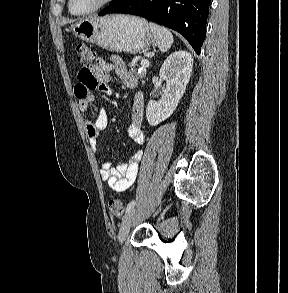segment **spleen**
Returning <instances> with one entry per match:
<instances>
[{"label": "spleen", "mask_w": 288, "mask_h": 293, "mask_svg": "<svg viewBox=\"0 0 288 293\" xmlns=\"http://www.w3.org/2000/svg\"><path fill=\"white\" fill-rule=\"evenodd\" d=\"M149 26L160 51L163 53L167 52L174 41L172 33L165 27L152 22L149 23Z\"/></svg>", "instance_id": "1"}]
</instances>
